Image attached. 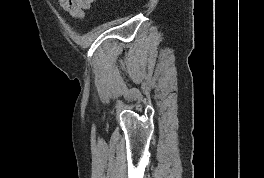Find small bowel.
<instances>
[{"label": "small bowel", "instance_id": "c3829d8e", "mask_svg": "<svg viewBox=\"0 0 264 178\" xmlns=\"http://www.w3.org/2000/svg\"><path fill=\"white\" fill-rule=\"evenodd\" d=\"M62 9L74 18H83L85 10L91 7L94 0H58Z\"/></svg>", "mask_w": 264, "mask_h": 178}]
</instances>
